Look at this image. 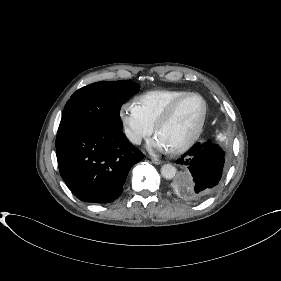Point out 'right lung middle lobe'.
I'll list each match as a JSON object with an SVG mask.
<instances>
[{
	"label": "right lung middle lobe",
	"instance_id": "obj_1",
	"mask_svg": "<svg viewBox=\"0 0 281 281\" xmlns=\"http://www.w3.org/2000/svg\"><path fill=\"white\" fill-rule=\"evenodd\" d=\"M139 88L131 81H116L77 90L64 107L57 138L78 131L122 130L120 108Z\"/></svg>",
	"mask_w": 281,
	"mask_h": 281
}]
</instances>
